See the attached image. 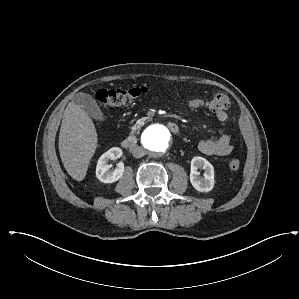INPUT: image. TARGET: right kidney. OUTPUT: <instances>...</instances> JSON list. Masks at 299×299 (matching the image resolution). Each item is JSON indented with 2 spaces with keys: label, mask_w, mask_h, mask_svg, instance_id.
Returning <instances> with one entry per match:
<instances>
[{
  "label": "right kidney",
  "mask_w": 299,
  "mask_h": 299,
  "mask_svg": "<svg viewBox=\"0 0 299 299\" xmlns=\"http://www.w3.org/2000/svg\"><path fill=\"white\" fill-rule=\"evenodd\" d=\"M122 156V150L118 147H113L105 152L99 158L96 166V177L103 183H113L119 180L124 173V164L118 163L116 168L111 170L108 161L117 159Z\"/></svg>",
  "instance_id": "1"
}]
</instances>
